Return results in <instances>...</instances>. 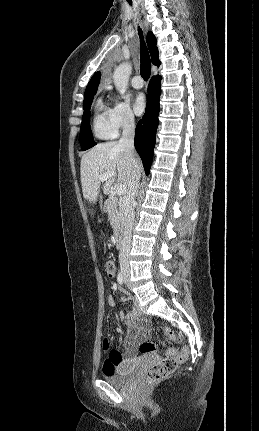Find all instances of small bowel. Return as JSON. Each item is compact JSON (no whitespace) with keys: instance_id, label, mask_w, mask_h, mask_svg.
Segmentation results:
<instances>
[{"instance_id":"c3829d8e","label":"small bowel","mask_w":259,"mask_h":431,"mask_svg":"<svg viewBox=\"0 0 259 431\" xmlns=\"http://www.w3.org/2000/svg\"><path fill=\"white\" fill-rule=\"evenodd\" d=\"M106 303L110 307L115 306V300L112 296L106 298ZM124 317L128 328V338L124 340L125 352L121 353L118 350L110 349L103 362L104 372H111L121 364L136 358L138 355L137 345L147 337L149 322L141 317L139 309H132Z\"/></svg>"}]
</instances>
